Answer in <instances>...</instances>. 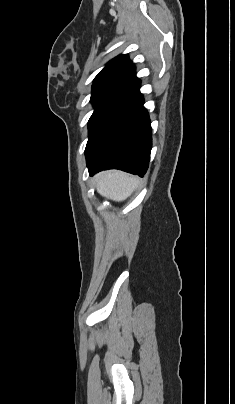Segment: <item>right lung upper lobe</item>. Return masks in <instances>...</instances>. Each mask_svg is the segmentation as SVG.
Listing matches in <instances>:
<instances>
[{"mask_svg": "<svg viewBox=\"0 0 235 404\" xmlns=\"http://www.w3.org/2000/svg\"><path fill=\"white\" fill-rule=\"evenodd\" d=\"M138 78L135 75V67L127 55H119L111 60L98 73L93 86L108 84L131 85Z\"/></svg>", "mask_w": 235, "mask_h": 404, "instance_id": "cb5924a9", "label": "right lung upper lobe"}]
</instances>
